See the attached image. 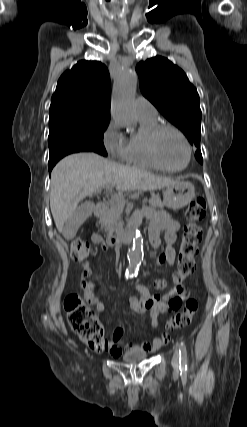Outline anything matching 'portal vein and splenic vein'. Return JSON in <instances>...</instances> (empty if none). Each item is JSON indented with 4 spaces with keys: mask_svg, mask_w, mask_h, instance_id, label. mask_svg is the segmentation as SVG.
<instances>
[{
    "mask_svg": "<svg viewBox=\"0 0 247 427\" xmlns=\"http://www.w3.org/2000/svg\"><path fill=\"white\" fill-rule=\"evenodd\" d=\"M112 200H114V201L124 202V198H123L122 196H120V195H113V196H112ZM147 201H148V199H147V198H144V199H143V202H147Z\"/></svg>",
    "mask_w": 247,
    "mask_h": 427,
    "instance_id": "18ae733b",
    "label": "portal vein and splenic vein"
}]
</instances>
